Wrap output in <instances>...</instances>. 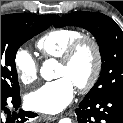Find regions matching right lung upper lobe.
Segmentation results:
<instances>
[{
  "mask_svg": "<svg viewBox=\"0 0 123 123\" xmlns=\"http://www.w3.org/2000/svg\"><path fill=\"white\" fill-rule=\"evenodd\" d=\"M19 15L28 16V17L35 16L33 14H27V13H19ZM46 16H48L51 19L52 23H54L59 18V16L57 15H46Z\"/></svg>",
  "mask_w": 123,
  "mask_h": 123,
  "instance_id": "obj_1",
  "label": "right lung upper lobe"
}]
</instances>
